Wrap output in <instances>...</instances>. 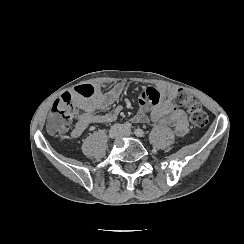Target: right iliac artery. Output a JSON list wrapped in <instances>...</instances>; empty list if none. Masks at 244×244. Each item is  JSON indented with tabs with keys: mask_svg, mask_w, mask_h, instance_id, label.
I'll use <instances>...</instances> for the list:
<instances>
[{
	"mask_svg": "<svg viewBox=\"0 0 244 244\" xmlns=\"http://www.w3.org/2000/svg\"><path fill=\"white\" fill-rule=\"evenodd\" d=\"M123 128L126 129V130H129L132 128V124L130 122H125L123 124Z\"/></svg>",
	"mask_w": 244,
	"mask_h": 244,
	"instance_id": "1",
	"label": "right iliac artery"
}]
</instances>
